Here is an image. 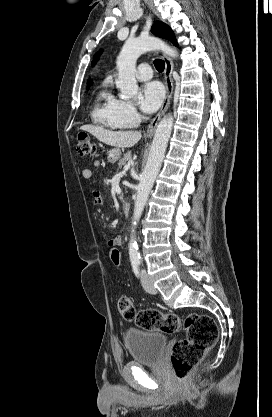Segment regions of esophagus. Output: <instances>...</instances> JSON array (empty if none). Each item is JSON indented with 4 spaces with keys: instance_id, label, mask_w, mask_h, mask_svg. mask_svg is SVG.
Returning <instances> with one entry per match:
<instances>
[{
    "instance_id": "1",
    "label": "esophagus",
    "mask_w": 272,
    "mask_h": 417,
    "mask_svg": "<svg viewBox=\"0 0 272 417\" xmlns=\"http://www.w3.org/2000/svg\"><path fill=\"white\" fill-rule=\"evenodd\" d=\"M164 63H165V70H164V77H165V84H166V97L163 102V105L158 112V114L154 117V119L149 124L146 134L148 136H152L156 130L158 122L160 121L161 117L166 113L168 110L170 103L172 101L173 90H174V83L172 78V71H173V63L171 59L163 54L162 56Z\"/></svg>"
}]
</instances>
